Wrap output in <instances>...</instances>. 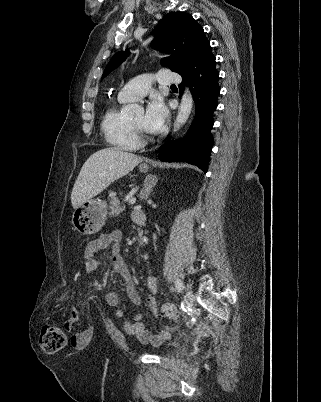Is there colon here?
Returning <instances> with one entry per match:
<instances>
[{"mask_svg":"<svg viewBox=\"0 0 321 402\" xmlns=\"http://www.w3.org/2000/svg\"><path fill=\"white\" fill-rule=\"evenodd\" d=\"M159 315L162 317L176 318L179 316L178 309L170 302L164 303ZM67 335L57 325L47 323L43 326L40 335V345L45 353L54 354L65 348Z\"/></svg>","mask_w":321,"mask_h":402,"instance_id":"colon-1","label":"colon"}]
</instances>
